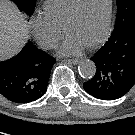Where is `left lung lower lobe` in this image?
I'll return each instance as SVG.
<instances>
[{"label": "left lung lower lobe", "instance_id": "obj_1", "mask_svg": "<svg viewBox=\"0 0 135 135\" xmlns=\"http://www.w3.org/2000/svg\"><path fill=\"white\" fill-rule=\"evenodd\" d=\"M91 60L96 74L83 83L84 90L102 100L124 96L135 84V23L128 31L110 37Z\"/></svg>", "mask_w": 135, "mask_h": 135}]
</instances>
